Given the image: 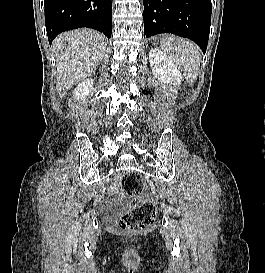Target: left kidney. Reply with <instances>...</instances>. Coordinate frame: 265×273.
Listing matches in <instances>:
<instances>
[{
	"label": "left kidney",
	"mask_w": 265,
	"mask_h": 273,
	"mask_svg": "<svg viewBox=\"0 0 265 273\" xmlns=\"http://www.w3.org/2000/svg\"><path fill=\"white\" fill-rule=\"evenodd\" d=\"M149 62L153 75L161 83L179 86L182 81V75L175 63L165 53L159 49H151L149 52Z\"/></svg>",
	"instance_id": "1"
}]
</instances>
